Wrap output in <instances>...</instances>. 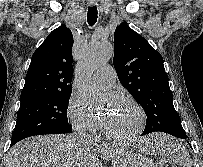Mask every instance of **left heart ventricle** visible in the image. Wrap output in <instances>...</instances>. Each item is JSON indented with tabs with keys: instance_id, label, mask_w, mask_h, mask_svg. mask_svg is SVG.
I'll return each instance as SVG.
<instances>
[{
	"instance_id": "obj_1",
	"label": "left heart ventricle",
	"mask_w": 203,
	"mask_h": 167,
	"mask_svg": "<svg viewBox=\"0 0 203 167\" xmlns=\"http://www.w3.org/2000/svg\"><path fill=\"white\" fill-rule=\"evenodd\" d=\"M100 119L105 127L117 136L133 132L139 121L137 112L122 100H118L113 108L103 112Z\"/></svg>"
}]
</instances>
